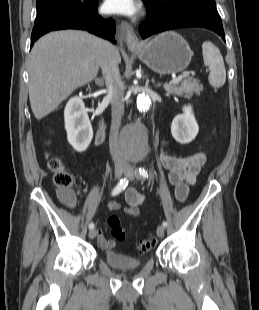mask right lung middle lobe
Masks as SVG:
<instances>
[{
    "label": "right lung middle lobe",
    "mask_w": 259,
    "mask_h": 310,
    "mask_svg": "<svg viewBox=\"0 0 259 310\" xmlns=\"http://www.w3.org/2000/svg\"><path fill=\"white\" fill-rule=\"evenodd\" d=\"M86 0H37V16L40 18L50 12L72 11L82 8Z\"/></svg>",
    "instance_id": "1"
}]
</instances>
